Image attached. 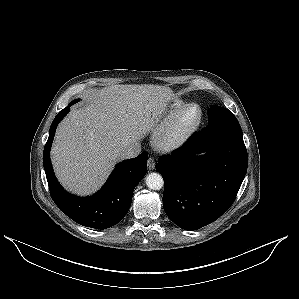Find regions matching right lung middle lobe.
<instances>
[{"instance_id": "right-lung-middle-lobe-1", "label": "right lung middle lobe", "mask_w": 299, "mask_h": 299, "mask_svg": "<svg viewBox=\"0 0 299 299\" xmlns=\"http://www.w3.org/2000/svg\"><path fill=\"white\" fill-rule=\"evenodd\" d=\"M76 101H78V100H76ZM76 101H73L72 103H75Z\"/></svg>"}]
</instances>
